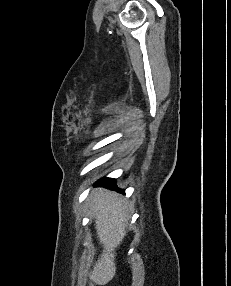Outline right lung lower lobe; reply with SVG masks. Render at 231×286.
<instances>
[{"label":"right lung lower lobe","mask_w":231,"mask_h":286,"mask_svg":"<svg viewBox=\"0 0 231 286\" xmlns=\"http://www.w3.org/2000/svg\"><path fill=\"white\" fill-rule=\"evenodd\" d=\"M97 184H101L102 186L115 188V180L109 178H103L97 182Z\"/></svg>","instance_id":"1"}]
</instances>
